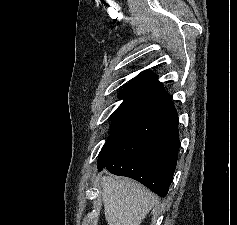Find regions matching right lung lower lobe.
<instances>
[{
	"label": "right lung lower lobe",
	"mask_w": 237,
	"mask_h": 225,
	"mask_svg": "<svg viewBox=\"0 0 237 225\" xmlns=\"http://www.w3.org/2000/svg\"><path fill=\"white\" fill-rule=\"evenodd\" d=\"M180 147L173 102L155 106L114 130L98 158V171L133 178L165 197Z\"/></svg>",
	"instance_id": "1"
}]
</instances>
